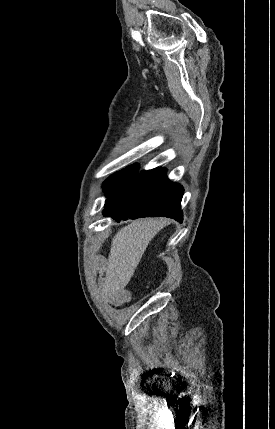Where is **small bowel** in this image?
Wrapping results in <instances>:
<instances>
[{"instance_id": "small-bowel-1", "label": "small bowel", "mask_w": 275, "mask_h": 429, "mask_svg": "<svg viewBox=\"0 0 275 429\" xmlns=\"http://www.w3.org/2000/svg\"><path fill=\"white\" fill-rule=\"evenodd\" d=\"M130 299V292L124 288L112 290L107 297L108 302L113 306H120L122 304H125L129 302Z\"/></svg>"}]
</instances>
